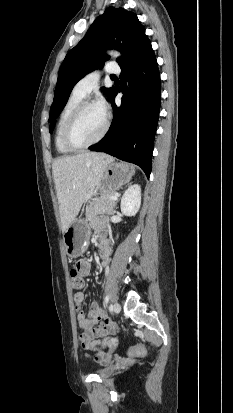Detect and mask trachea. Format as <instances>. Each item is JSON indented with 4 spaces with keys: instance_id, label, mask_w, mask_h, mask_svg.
Segmentation results:
<instances>
[{
    "instance_id": "obj_1",
    "label": "trachea",
    "mask_w": 233,
    "mask_h": 413,
    "mask_svg": "<svg viewBox=\"0 0 233 413\" xmlns=\"http://www.w3.org/2000/svg\"><path fill=\"white\" fill-rule=\"evenodd\" d=\"M111 77H112V78H114L115 76H114V75H112Z\"/></svg>"
}]
</instances>
